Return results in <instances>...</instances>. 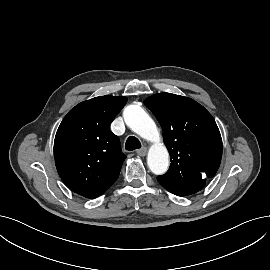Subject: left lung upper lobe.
Here are the masks:
<instances>
[{
    "label": "left lung upper lobe",
    "mask_w": 270,
    "mask_h": 270,
    "mask_svg": "<svg viewBox=\"0 0 270 270\" xmlns=\"http://www.w3.org/2000/svg\"><path fill=\"white\" fill-rule=\"evenodd\" d=\"M163 129L170 154L169 170L158 176L169 192L186 196L200 191L213 177L222 158V139L211 114L196 101L171 93L145 99Z\"/></svg>",
    "instance_id": "5c2ea615"
}]
</instances>
